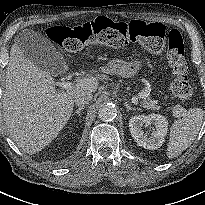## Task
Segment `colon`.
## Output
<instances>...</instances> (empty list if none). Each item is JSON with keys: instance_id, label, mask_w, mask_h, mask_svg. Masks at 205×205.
Returning <instances> with one entry per match:
<instances>
[{"instance_id": "1", "label": "colon", "mask_w": 205, "mask_h": 205, "mask_svg": "<svg viewBox=\"0 0 205 205\" xmlns=\"http://www.w3.org/2000/svg\"><path fill=\"white\" fill-rule=\"evenodd\" d=\"M50 39L67 51H79L86 43L103 44L114 48L137 43L152 52L167 48V60L175 78L171 91L178 100H189L193 88L188 80L184 42L180 32L159 22L131 20L116 22L99 17L75 27L56 25L47 30Z\"/></svg>"}]
</instances>
